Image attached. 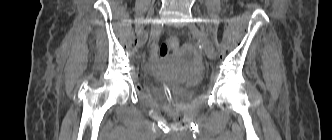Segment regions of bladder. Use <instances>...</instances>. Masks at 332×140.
Here are the masks:
<instances>
[{
  "label": "bladder",
  "mask_w": 332,
  "mask_h": 140,
  "mask_svg": "<svg viewBox=\"0 0 332 140\" xmlns=\"http://www.w3.org/2000/svg\"><path fill=\"white\" fill-rule=\"evenodd\" d=\"M198 79L187 80L185 86L177 93H170V99L166 92L162 89L156 88L154 90L155 97L161 106L170 108L172 110H181L184 105L191 99L194 89L198 86Z\"/></svg>",
  "instance_id": "1"
}]
</instances>
